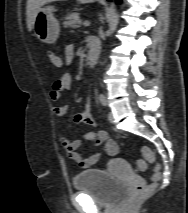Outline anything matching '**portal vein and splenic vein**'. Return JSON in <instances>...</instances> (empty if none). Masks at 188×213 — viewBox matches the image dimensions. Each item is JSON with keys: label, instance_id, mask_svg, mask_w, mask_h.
Listing matches in <instances>:
<instances>
[{"label": "portal vein and splenic vein", "instance_id": "18ae733b", "mask_svg": "<svg viewBox=\"0 0 188 213\" xmlns=\"http://www.w3.org/2000/svg\"><path fill=\"white\" fill-rule=\"evenodd\" d=\"M83 25H84V26H89V25H90V22L86 20V21L83 22Z\"/></svg>", "mask_w": 188, "mask_h": 213}]
</instances>
